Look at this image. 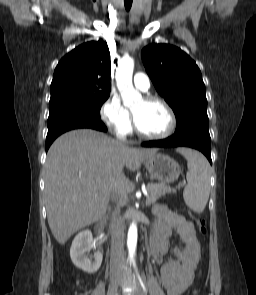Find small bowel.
I'll use <instances>...</instances> for the list:
<instances>
[{
  "instance_id": "small-bowel-1",
  "label": "small bowel",
  "mask_w": 256,
  "mask_h": 295,
  "mask_svg": "<svg viewBox=\"0 0 256 295\" xmlns=\"http://www.w3.org/2000/svg\"><path fill=\"white\" fill-rule=\"evenodd\" d=\"M180 236L183 245L174 249V258L159 265L158 279L167 295H181L191 284L200 249L194 225L167 206L155 208L150 251L159 264L169 246L171 230Z\"/></svg>"
}]
</instances>
